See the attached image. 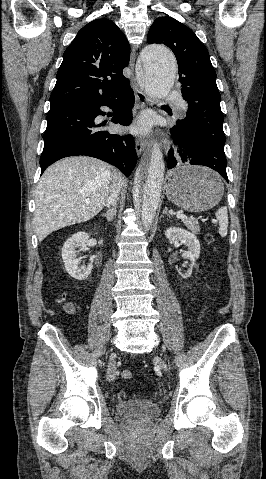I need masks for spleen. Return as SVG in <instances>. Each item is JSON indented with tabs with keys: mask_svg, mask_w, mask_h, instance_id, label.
I'll list each match as a JSON object with an SVG mask.
<instances>
[{
	"mask_svg": "<svg viewBox=\"0 0 266 479\" xmlns=\"http://www.w3.org/2000/svg\"><path fill=\"white\" fill-rule=\"evenodd\" d=\"M216 218L219 221L218 232L221 237H225L228 232V212L226 207H221L216 212Z\"/></svg>",
	"mask_w": 266,
	"mask_h": 479,
	"instance_id": "spleen-1",
	"label": "spleen"
}]
</instances>
